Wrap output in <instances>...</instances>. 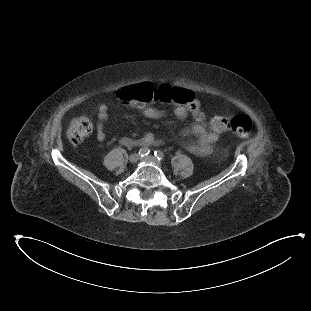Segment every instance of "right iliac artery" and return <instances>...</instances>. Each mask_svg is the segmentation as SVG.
<instances>
[{"mask_svg": "<svg viewBox=\"0 0 311 311\" xmlns=\"http://www.w3.org/2000/svg\"><path fill=\"white\" fill-rule=\"evenodd\" d=\"M149 153H150V149L147 148V147H142V148L139 150V155H140L141 157L147 156Z\"/></svg>", "mask_w": 311, "mask_h": 311, "instance_id": "1", "label": "right iliac artery"}]
</instances>
